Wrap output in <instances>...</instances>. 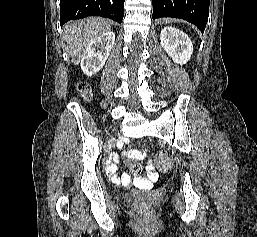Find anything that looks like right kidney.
Masks as SVG:
<instances>
[{
  "label": "right kidney",
  "mask_w": 257,
  "mask_h": 237,
  "mask_svg": "<svg viewBox=\"0 0 257 237\" xmlns=\"http://www.w3.org/2000/svg\"><path fill=\"white\" fill-rule=\"evenodd\" d=\"M114 41L115 34L108 31L90 43L81 59V69L84 74L92 76L104 66L113 48Z\"/></svg>",
  "instance_id": "obj_1"
}]
</instances>
